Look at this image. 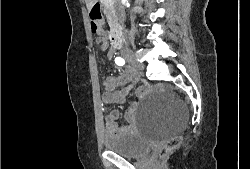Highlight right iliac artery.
Masks as SVG:
<instances>
[{
  "mask_svg": "<svg viewBox=\"0 0 250 169\" xmlns=\"http://www.w3.org/2000/svg\"><path fill=\"white\" fill-rule=\"evenodd\" d=\"M115 63H116L117 65H119V66H122V65L125 64V60H124L123 58H121V57H116V58H115Z\"/></svg>",
  "mask_w": 250,
  "mask_h": 169,
  "instance_id": "82829eb1",
  "label": "right iliac artery"
}]
</instances>
